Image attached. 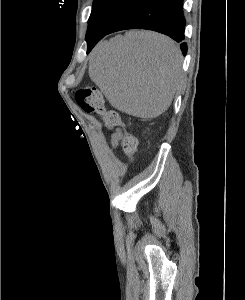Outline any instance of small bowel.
<instances>
[{"mask_svg":"<svg viewBox=\"0 0 245 300\" xmlns=\"http://www.w3.org/2000/svg\"><path fill=\"white\" fill-rule=\"evenodd\" d=\"M122 140V130L120 128H115L111 135V145L116 148Z\"/></svg>","mask_w":245,"mask_h":300,"instance_id":"1","label":"small bowel"}]
</instances>
